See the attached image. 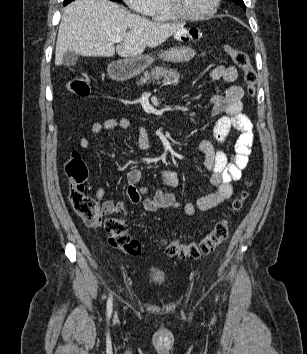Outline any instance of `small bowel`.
I'll return each mask as SVG.
<instances>
[{
  "mask_svg": "<svg viewBox=\"0 0 307 354\" xmlns=\"http://www.w3.org/2000/svg\"><path fill=\"white\" fill-rule=\"evenodd\" d=\"M192 32L189 29H176L174 38H191ZM212 80H224L227 83H233L238 77V71L233 66L218 65L210 72ZM244 90L239 85L229 86L223 95H215L212 98L213 115L218 116L214 129V139L224 144L232 130L237 132L235 142V154L231 161H228L226 153L221 149H215L213 143L209 140H203L199 144L200 151L204 154V164L210 172V182L215 191L200 198L194 203L181 204L176 196L166 190L159 189L152 197H144L147 188L138 186L141 179V171L133 168L126 173L127 189L126 193L131 203L139 204L148 212H155L159 209H178L184 214L191 216L199 211H206L218 206L232 195V182L241 178L242 170L246 168L251 154V148L254 140L253 126L251 121L242 114V98ZM125 130H134L137 142L142 148H149L151 141L148 131L144 127L135 129L134 123L129 118H109L102 122L91 124L89 131L92 134H99L102 131L113 130L115 128ZM81 149H88L90 140L88 137H82L79 140ZM164 183L171 188L178 185V176L172 170H165L162 173ZM105 190L98 187L95 190V198L103 199ZM107 214L117 213L124 210L123 202H113L107 200L103 203Z\"/></svg>",
  "mask_w": 307,
  "mask_h": 354,
  "instance_id": "1",
  "label": "small bowel"
}]
</instances>
